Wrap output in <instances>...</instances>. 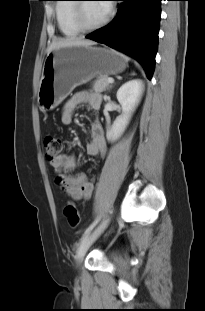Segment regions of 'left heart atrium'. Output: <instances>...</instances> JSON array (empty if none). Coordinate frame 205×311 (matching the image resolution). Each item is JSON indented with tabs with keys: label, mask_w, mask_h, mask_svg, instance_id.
<instances>
[{
	"label": "left heart atrium",
	"mask_w": 205,
	"mask_h": 311,
	"mask_svg": "<svg viewBox=\"0 0 205 311\" xmlns=\"http://www.w3.org/2000/svg\"><path fill=\"white\" fill-rule=\"evenodd\" d=\"M104 6L108 12L110 10V1H104Z\"/></svg>",
	"instance_id": "obj_1"
}]
</instances>
